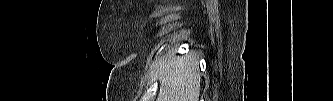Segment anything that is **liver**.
<instances>
[{
  "label": "liver",
  "instance_id": "1",
  "mask_svg": "<svg viewBox=\"0 0 333 101\" xmlns=\"http://www.w3.org/2000/svg\"><path fill=\"white\" fill-rule=\"evenodd\" d=\"M201 77L193 55L175 58L165 65L157 101H198Z\"/></svg>",
  "mask_w": 333,
  "mask_h": 101
}]
</instances>
